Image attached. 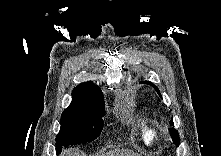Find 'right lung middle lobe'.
I'll list each match as a JSON object with an SVG mask.
<instances>
[{
    "label": "right lung middle lobe",
    "instance_id": "dd1d6c3e",
    "mask_svg": "<svg viewBox=\"0 0 221 156\" xmlns=\"http://www.w3.org/2000/svg\"><path fill=\"white\" fill-rule=\"evenodd\" d=\"M105 105L69 106L61 115L56 152L62 147L95 140L102 132Z\"/></svg>",
    "mask_w": 221,
    "mask_h": 156
}]
</instances>
